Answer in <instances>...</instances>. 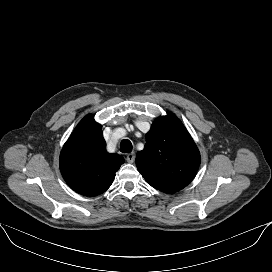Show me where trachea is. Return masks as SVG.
Returning <instances> with one entry per match:
<instances>
[{"mask_svg":"<svg viewBox=\"0 0 272 272\" xmlns=\"http://www.w3.org/2000/svg\"><path fill=\"white\" fill-rule=\"evenodd\" d=\"M120 151L123 153H129L132 151V144L128 139H124L120 145Z\"/></svg>","mask_w":272,"mask_h":272,"instance_id":"obj_1","label":"trachea"}]
</instances>
